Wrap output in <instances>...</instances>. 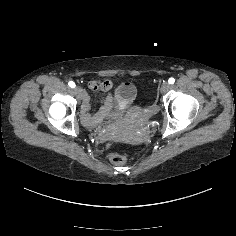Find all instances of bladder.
<instances>
[{
	"mask_svg": "<svg viewBox=\"0 0 236 236\" xmlns=\"http://www.w3.org/2000/svg\"><path fill=\"white\" fill-rule=\"evenodd\" d=\"M116 96L127 103L132 102L137 96L136 84L120 81L116 87Z\"/></svg>",
	"mask_w": 236,
	"mask_h": 236,
	"instance_id": "bladder-1",
	"label": "bladder"
}]
</instances>
